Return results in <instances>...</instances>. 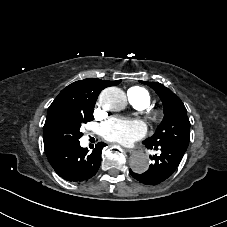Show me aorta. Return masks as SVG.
I'll list each match as a JSON object with an SVG mask.
<instances>
[{
    "label": "aorta",
    "instance_id": "obj_1",
    "mask_svg": "<svg viewBox=\"0 0 227 227\" xmlns=\"http://www.w3.org/2000/svg\"><path fill=\"white\" fill-rule=\"evenodd\" d=\"M126 95L117 87L104 89L99 97L101 106L106 110H119L126 105ZM149 167V158L143 152L135 153L130 159V168L135 173H144Z\"/></svg>",
    "mask_w": 227,
    "mask_h": 227
}]
</instances>
